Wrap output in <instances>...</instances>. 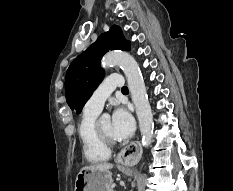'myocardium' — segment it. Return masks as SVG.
<instances>
[{"mask_svg": "<svg viewBox=\"0 0 233 191\" xmlns=\"http://www.w3.org/2000/svg\"><path fill=\"white\" fill-rule=\"evenodd\" d=\"M100 122H96L95 131L100 139V141L105 144L107 147H110L114 144V139L111 136L106 135L100 128Z\"/></svg>", "mask_w": 233, "mask_h": 191, "instance_id": "myocardium-1", "label": "myocardium"}]
</instances>
